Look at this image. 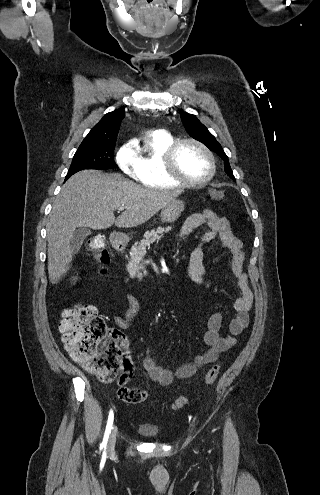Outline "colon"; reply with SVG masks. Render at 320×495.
Listing matches in <instances>:
<instances>
[{"label": "colon", "instance_id": "obj_1", "mask_svg": "<svg viewBox=\"0 0 320 495\" xmlns=\"http://www.w3.org/2000/svg\"><path fill=\"white\" fill-rule=\"evenodd\" d=\"M212 199L219 201L223 192L213 190ZM85 251L103 266L107 265L109 255L105 248L103 236L92 237L85 245ZM62 342L71 357L80 363L87 371L95 374L103 382H112L121 368L131 367V361L126 353H122L113 337L116 332H110L105 320L97 309L90 305H79L65 310L59 325ZM220 366L213 365L205 375V385H212L218 377ZM127 380L121 374L117 396L129 404H138L146 400L147 392L125 386ZM188 403L185 396H179L172 408L180 410Z\"/></svg>", "mask_w": 320, "mask_h": 495}]
</instances>
